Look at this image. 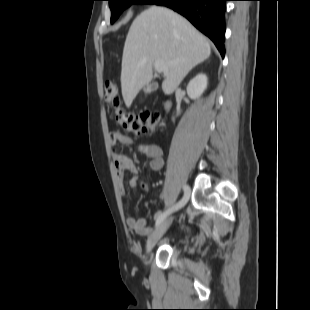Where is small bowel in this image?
Here are the masks:
<instances>
[{
	"mask_svg": "<svg viewBox=\"0 0 310 310\" xmlns=\"http://www.w3.org/2000/svg\"><path fill=\"white\" fill-rule=\"evenodd\" d=\"M109 141L112 146L111 154L118 180L120 194L122 196L126 194L124 179L128 173L131 174L128 182L130 188H135L137 185H141L144 190H147L148 187L140 176L139 169L133 159L121 153L119 148L116 147V144L120 143L126 146L135 145L137 150L142 155L150 158L148 169L152 171H158L164 165L165 158L162 149L158 145L153 143H136L130 136L116 130L110 131ZM161 214V211L155 212L153 215V219L157 220ZM127 225L131 230H133L136 234L140 236H146L150 233V228L148 226L147 220L144 218L135 219L131 216H128Z\"/></svg>",
	"mask_w": 310,
	"mask_h": 310,
	"instance_id": "small-bowel-1",
	"label": "small bowel"
}]
</instances>
